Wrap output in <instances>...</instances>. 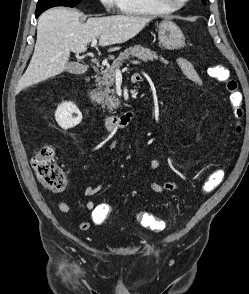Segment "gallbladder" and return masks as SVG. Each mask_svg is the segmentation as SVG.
<instances>
[{
    "label": "gallbladder",
    "instance_id": "gallbladder-1",
    "mask_svg": "<svg viewBox=\"0 0 249 294\" xmlns=\"http://www.w3.org/2000/svg\"><path fill=\"white\" fill-rule=\"evenodd\" d=\"M66 70L71 74H81L84 72L83 67L76 62L68 64Z\"/></svg>",
    "mask_w": 249,
    "mask_h": 294
}]
</instances>
